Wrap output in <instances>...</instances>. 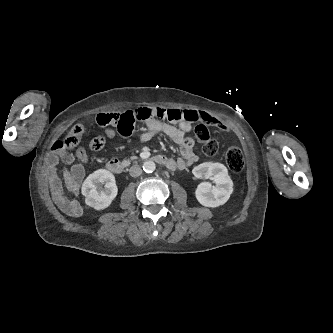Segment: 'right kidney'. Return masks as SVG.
I'll return each mask as SVG.
<instances>
[{
  "label": "right kidney",
  "instance_id": "obj_1",
  "mask_svg": "<svg viewBox=\"0 0 333 333\" xmlns=\"http://www.w3.org/2000/svg\"><path fill=\"white\" fill-rule=\"evenodd\" d=\"M81 191L88 206L102 210L110 206L118 189L114 175L108 170L99 169L84 180Z\"/></svg>",
  "mask_w": 333,
  "mask_h": 333
}]
</instances>
